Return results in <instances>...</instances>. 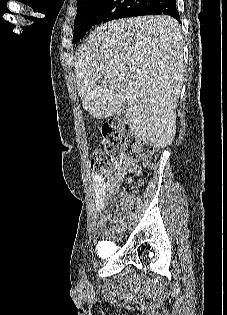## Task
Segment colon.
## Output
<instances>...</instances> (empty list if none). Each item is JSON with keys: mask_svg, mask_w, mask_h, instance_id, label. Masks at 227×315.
I'll return each mask as SVG.
<instances>
[{"mask_svg": "<svg viewBox=\"0 0 227 315\" xmlns=\"http://www.w3.org/2000/svg\"><path fill=\"white\" fill-rule=\"evenodd\" d=\"M103 152H96L91 159L94 173L105 174L109 168L107 156L122 150L132 156L133 160L145 168H151L157 158V150L147 142L138 138L128 127L119 123L107 124L101 132Z\"/></svg>", "mask_w": 227, "mask_h": 315, "instance_id": "5ec220e1", "label": "colon"}]
</instances>
